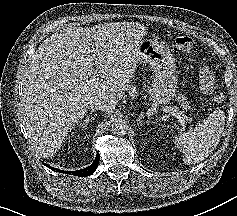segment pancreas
<instances>
[{
	"mask_svg": "<svg viewBox=\"0 0 237 216\" xmlns=\"http://www.w3.org/2000/svg\"><path fill=\"white\" fill-rule=\"evenodd\" d=\"M177 100L180 101V102L182 101V95H181V94H179V95L177 96Z\"/></svg>",
	"mask_w": 237,
	"mask_h": 216,
	"instance_id": "cf45deb5",
	"label": "pancreas"
}]
</instances>
